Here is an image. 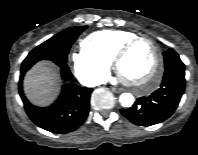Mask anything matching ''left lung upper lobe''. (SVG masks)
Masks as SVG:
<instances>
[{"label":"left lung upper lobe","instance_id":"1","mask_svg":"<svg viewBox=\"0 0 198 155\" xmlns=\"http://www.w3.org/2000/svg\"><path fill=\"white\" fill-rule=\"evenodd\" d=\"M163 55L165 61V70L174 65L184 66L183 62L179 58V55L173 49L165 51Z\"/></svg>","mask_w":198,"mask_h":155}]
</instances>
